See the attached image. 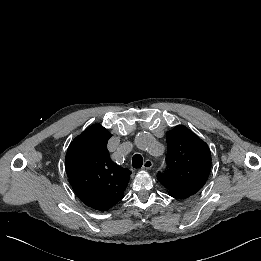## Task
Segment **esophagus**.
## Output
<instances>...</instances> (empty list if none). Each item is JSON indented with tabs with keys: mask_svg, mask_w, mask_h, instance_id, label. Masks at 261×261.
<instances>
[{
	"mask_svg": "<svg viewBox=\"0 0 261 261\" xmlns=\"http://www.w3.org/2000/svg\"><path fill=\"white\" fill-rule=\"evenodd\" d=\"M153 166V162L149 159H147L143 164V169H150Z\"/></svg>",
	"mask_w": 261,
	"mask_h": 261,
	"instance_id": "obj_1",
	"label": "esophagus"
}]
</instances>
